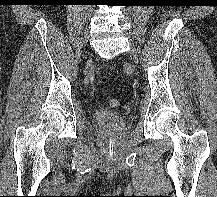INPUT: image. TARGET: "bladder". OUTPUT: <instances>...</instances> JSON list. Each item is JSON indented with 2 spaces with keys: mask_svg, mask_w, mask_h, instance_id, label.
Masks as SVG:
<instances>
[{
  "mask_svg": "<svg viewBox=\"0 0 217 197\" xmlns=\"http://www.w3.org/2000/svg\"><path fill=\"white\" fill-rule=\"evenodd\" d=\"M96 118L110 125L116 124L119 119L118 115L115 112L108 110H100L99 112H97Z\"/></svg>",
  "mask_w": 217,
  "mask_h": 197,
  "instance_id": "obj_1",
  "label": "bladder"
}]
</instances>
